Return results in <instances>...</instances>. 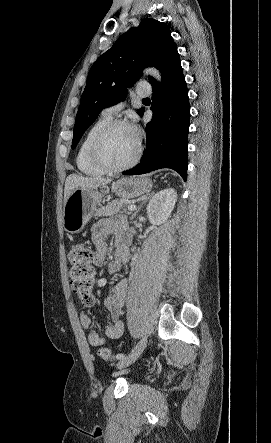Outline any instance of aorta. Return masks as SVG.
Returning <instances> with one entry per match:
<instances>
[{
    "mask_svg": "<svg viewBox=\"0 0 271 443\" xmlns=\"http://www.w3.org/2000/svg\"><path fill=\"white\" fill-rule=\"evenodd\" d=\"M144 74H146V76H152V78H155V80L161 82L162 76L159 70H156V68H147V70H144Z\"/></svg>",
    "mask_w": 271,
    "mask_h": 443,
    "instance_id": "obj_1",
    "label": "aorta"
}]
</instances>
